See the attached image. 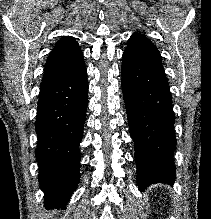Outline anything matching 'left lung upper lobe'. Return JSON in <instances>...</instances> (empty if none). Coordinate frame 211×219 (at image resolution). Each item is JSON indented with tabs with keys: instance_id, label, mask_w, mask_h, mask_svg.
Returning <instances> with one entry per match:
<instances>
[{
	"instance_id": "1",
	"label": "left lung upper lobe",
	"mask_w": 211,
	"mask_h": 219,
	"mask_svg": "<svg viewBox=\"0 0 211 219\" xmlns=\"http://www.w3.org/2000/svg\"><path fill=\"white\" fill-rule=\"evenodd\" d=\"M134 35H139L138 33H135Z\"/></svg>"
}]
</instances>
